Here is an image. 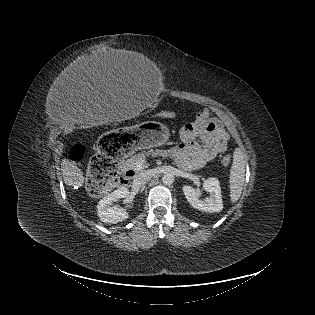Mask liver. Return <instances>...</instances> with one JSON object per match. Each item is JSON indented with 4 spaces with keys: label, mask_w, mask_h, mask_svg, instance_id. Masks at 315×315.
<instances>
[{
    "label": "liver",
    "mask_w": 315,
    "mask_h": 315,
    "mask_svg": "<svg viewBox=\"0 0 315 315\" xmlns=\"http://www.w3.org/2000/svg\"><path fill=\"white\" fill-rule=\"evenodd\" d=\"M132 53L122 50L101 51L96 54L84 57L72 71L79 76H95L97 74H111L112 72H121L123 61H130ZM75 71V72H74ZM127 112L120 115V118L127 119ZM125 114V115H124ZM119 118V117H118ZM61 172L64 183L69 187H81L86 180L83 172L75 163L64 158L61 162Z\"/></svg>",
    "instance_id": "6515ba94"
}]
</instances>
